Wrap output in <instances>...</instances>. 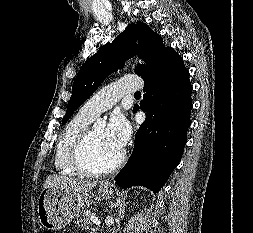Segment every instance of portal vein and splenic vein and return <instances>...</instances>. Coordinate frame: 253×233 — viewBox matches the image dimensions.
<instances>
[{
    "label": "portal vein and splenic vein",
    "mask_w": 253,
    "mask_h": 233,
    "mask_svg": "<svg viewBox=\"0 0 253 233\" xmlns=\"http://www.w3.org/2000/svg\"><path fill=\"white\" fill-rule=\"evenodd\" d=\"M91 221L94 223V224H97V225H100V221L97 217L95 216H91Z\"/></svg>",
    "instance_id": "obj_1"
}]
</instances>
